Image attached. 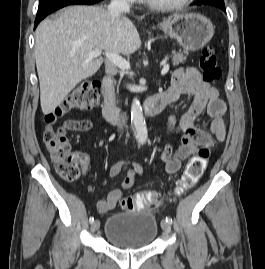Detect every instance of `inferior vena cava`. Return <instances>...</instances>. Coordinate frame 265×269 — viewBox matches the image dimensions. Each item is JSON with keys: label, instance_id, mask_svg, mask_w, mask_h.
Here are the masks:
<instances>
[{"label": "inferior vena cava", "instance_id": "obj_1", "mask_svg": "<svg viewBox=\"0 0 265 269\" xmlns=\"http://www.w3.org/2000/svg\"><path fill=\"white\" fill-rule=\"evenodd\" d=\"M107 9L111 21L120 17L123 13L130 12V6L126 0H112ZM119 129L121 130V126L118 128V131Z\"/></svg>", "mask_w": 265, "mask_h": 269}]
</instances>
